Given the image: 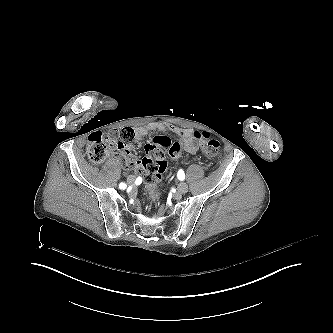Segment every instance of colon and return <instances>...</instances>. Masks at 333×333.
<instances>
[{
	"instance_id": "5ec220e1",
	"label": "colon",
	"mask_w": 333,
	"mask_h": 333,
	"mask_svg": "<svg viewBox=\"0 0 333 333\" xmlns=\"http://www.w3.org/2000/svg\"><path fill=\"white\" fill-rule=\"evenodd\" d=\"M117 134L120 135L124 144L135 138V132L131 128H125L120 133L112 132L111 135L94 133L89 137L87 153L92 162H102L113 152L116 143H120L114 137ZM202 148L210 158H217L221 154V146L216 139L209 140ZM145 153V157L139 163L143 168L146 198L150 203H155L160 196L162 173L167 166L166 155L173 154V156L179 157L182 151L178 142H172L166 136H157L145 147Z\"/></svg>"
}]
</instances>
